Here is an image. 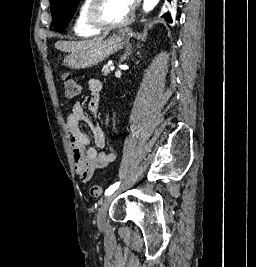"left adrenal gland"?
Wrapping results in <instances>:
<instances>
[{
    "instance_id": "a2214340",
    "label": "left adrenal gland",
    "mask_w": 256,
    "mask_h": 267,
    "mask_svg": "<svg viewBox=\"0 0 256 267\" xmlns=\"http://www.w3.org/2000/svg\"><path fill=\"white\" fill-rule=\"evenodd\" d=\"M131 52H132V46H131V44H128V46L126 48V52H125V54H123L121 60H124V58H127V56H130Z\"/></svg>"
}]
</instances>
